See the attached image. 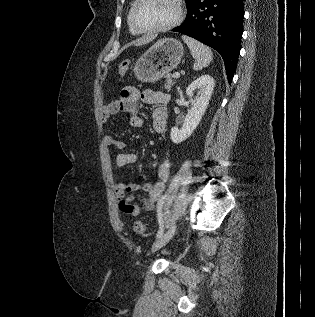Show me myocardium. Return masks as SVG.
I'll return each instance as SVG.
<instances>
[{
    "instance_id": "1",
    "label": "myocardium",
    "mask_w": 315,
    "mask_h": 317,
    "mask_svg": "<svg viewBox=\"0 0 315 317\" xmlns=\"http://www.w3.org/2000/svg\"><path fill=\"white\" fill-rule=\"evenodd\" d=\"M142 2V0H135L131 11H130V22L132 27L139 33H156V32H163L170 30L177 25H179L184 17V9H183V4L182 0H174L175 6H176V15L175 17L167 24H164L162 26L158 27H152V28H141L137 25L136 20H135V13L138 5Z\"/></svg>"
}]
</instances>
